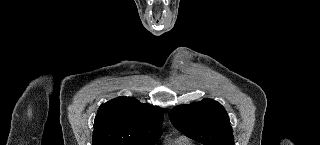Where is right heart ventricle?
Returning <instances> with one entry per match:
<instances>
[{
  "label": "right heart ventricle",
  "mask_w": 320,
  "mask_h": 145,
  "mask_svg": "<svg viewBox=\"0 0 320 145\" xmlns=\"http://www.w3.org/2000/svg\"><path fill=\"white\" fill-rule=\"evenodd\" d=\"M167 145H193L191 140L186 136H177L174 139L168 141Z\"/></svg>",
  "instance_id": "e07e8e85"
}]
</instances>
